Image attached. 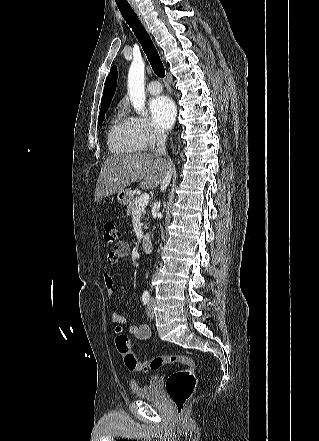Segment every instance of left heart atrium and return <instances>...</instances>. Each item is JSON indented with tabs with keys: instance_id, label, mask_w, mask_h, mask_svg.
I'll return each instance as SVG.
<instances>
[{
	"instance_id": "left-heart-atrium-1",
	"label": "left heart atrium",
	"mask_w": 319,
	"mask_h": 441,
	"mask_svg": "<svg viewBox=\"0 0 319 441\" xmlns=\"http://www.w3.org/2000/svg\"><path fill=\"white\" fill-rule=\"evenodd\" d=\"M149 108L154 126L162 132L169 130L176 114L174 102L167 96H157L151 100Z\"/></svg>"
}]
</instances>
